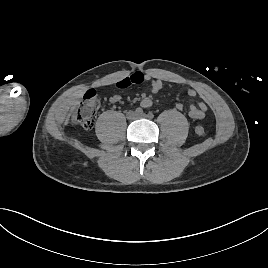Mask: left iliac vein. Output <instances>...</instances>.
Masks as SVG:
<instances>
[{"instance_id":"left-iliac-vein-1","label":"left iliac vein","mask_w":268,"mask_h":268,"mask_svg":"<svg viewBox=\"0 0 268 268\" xmlns=\"http://www.w3.org/2000/svg\"><path fill=\"white\" fill-rule=\"evenodd\" d=\"M138 118H148V116L144 113L137 115Z\"/></svg>"}]
</instances>
